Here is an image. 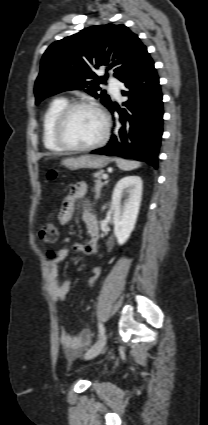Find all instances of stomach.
Segmentation results:
<instances>
[{"label": "stomach", "mask_w": 208, "mask_h": 425, "mask_svg": "<svg viewBox=\"0 0 208 425\" xmlns=\"http://www.w3.org/2000/svg\"><path fill=\"white\" fill-rule=\"evenodd\" d=\"M110 159L104 156L98 155H81L79 157L66 158L62 161V164L71 170H78L82 168L86 169H101L104 168Z\"/></svg>", "instance_id": "1"}]
</instances>
